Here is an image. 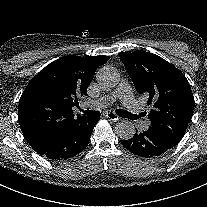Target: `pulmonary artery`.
Segmentation results:
<instances>
[{
    "label": "pulmonary artery",
    "instance_id": "1",
    "mask_svg": "<svg viewBox=\"0 0 207 207\" xmlns=\"http://www.w3.org/2000/svg\"><path fill=\"white\" fill-rule=\"evenodd\" d=\"M119 92L122 94V102L127 105V111L130 114H137L140 111V104L135 101V94L132 92V85L128 81H121L118 84V88L111 94L103 96L99 101H107L112 104L116 98L119 97ZM149 121L144 120L142 123V129L148 128Z\"/></svg>",
    "mask_w": 207,
    "mask_h": 207
}]
</instances>
